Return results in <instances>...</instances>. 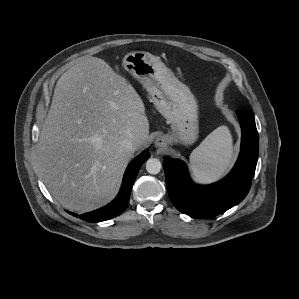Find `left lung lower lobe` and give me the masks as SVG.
<instances>
[{
	"mask_svg": "<svg viewBox=\"0 0 299 299\" xmlns=\"http://www.w3.org/2000/svg\"><path fill=\"white\" fill-rule=\"evenodd\" d=\"M241 125V151L231 172L221 181L194 184L184 162L163 161L167 190L176 208L198 217H213L240 203L251 187L258 158V133L252 110L236 111Z\"/></svg>",
	"mask_w": 299,
	"mask_h": 299,
	"instance_id": "0a47b994",
	"label": "left lung lower lobe"
}]
</instances>
